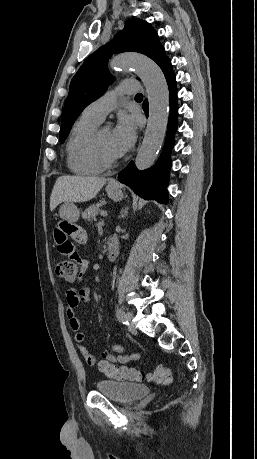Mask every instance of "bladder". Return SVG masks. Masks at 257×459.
I'll return each mask as SVG.
<instances>
[{
  "mask_svg": "<svg viewBox=\"0 0 257 459\" xmlns=\"http://www.w3.org/2000/svg\"><path fill=\"white\" fill-rule=\"evenodd\" d=\"M96 390L108 398L122 404H131L149 393V388L140 383L99 380Z\"/></svg>",
  "mask_w": 257,
  "mask_h": 459,
  "instance_id": "1",
  "label": "bladder"
}]
</instances>
